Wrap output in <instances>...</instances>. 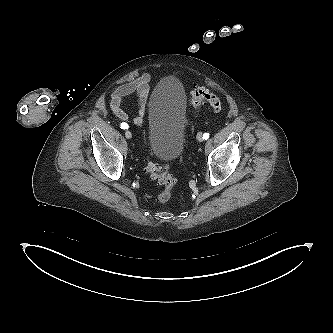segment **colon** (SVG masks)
<instances>
[{
    "mask_svg": "<svg viewBox=\"0 0 333 333\" xmlns=\"http://www.w3.org/2000/svg\"><path fill=\"white\" fill-rule=\"evenodd\" d=\"M190 103L194 113L199 112L204 105L210 106L215 111H220L223 108L221 99L203 87H194L192 89ZM152 156L150 152L147 158L146 172L152 180L157 181L161 186L158 193L159 201L167 202L171 198L176 179L169 172L168 165H161L155 162Z\"/></svg>",
    "mask_w": 333,
    "mask_h": 333,
    "instance_id": "5ec220e1",
    "label": "colon"
}]
</instances>
